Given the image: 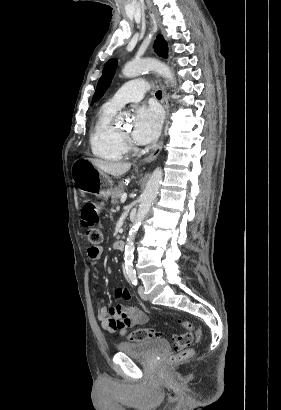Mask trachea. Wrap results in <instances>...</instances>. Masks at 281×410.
Segmentation results:
<instances>
[{
	"label": "trachea",
	"mask_w": 281,
	"mask_h": 410,
	"mask_svg": "<svg viewBox=\"0 0 281 410\" xmlns=\"http://www.w3.org/2000/svg\"><path fill=\"white\" fill-rule=\"evenodd\" d=\"M156 97H157V98H161V97H162V92H161L160 90H158V91L156 92Z\"/></svg>",
	"instance_id": "trachea-1"
}]
</instances>
